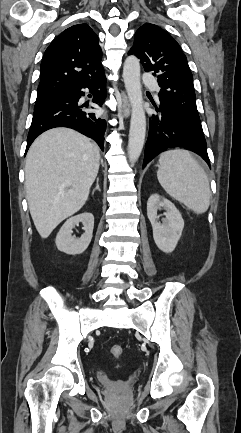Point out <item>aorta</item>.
Returning a JSON list of instances; mask_svg holds the SVG:
<instances>
[{"instance_id":"1","label":"aorta","mask_w":241,"mask_h":433,"mask_svg":"<svg viewBox=\"0 0 241 433\" xmlns=\"http://www.w3.org/2000/svg\"><path fill=\"white\" fill-rule=\"evenodd\" d=\"M123 79L131 104V121L128 141V157L134 164L140 157L146 135V116L140 81V61L135 56L126 58Z\"/></svg>"}]
</instances>
